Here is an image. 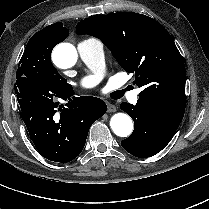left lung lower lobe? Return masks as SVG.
Segmentation results:
<instances>
[{"label":"left lung lower lobe","mask_w":209,"mask_h":209,"mask_svg":"<svg viewBox=\"0 0 209 209\" xmlns=\"http://www.w3.org/2000/svg\"><path fill=\"white\" fill-rule=\"evenodd\" d=\"M120 108L134 120V131L121 142L130 154L146 158L160 152L172 139L184 116L185 109H177L138 99L134 106L121 103Z\"/></svg>","instance_id":"left-lung-lower-lobe-1"}]
</instances>
